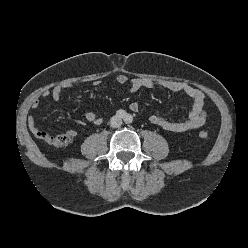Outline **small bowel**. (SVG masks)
I'll list each match as a JSON object with an SVG mask.
<instances>
[{
  "instance_id": "small-bowel-1",
  "label": "small bowel",
  "mask_w": 248,
  "mask_h": 248,
  "mask_svg": "<svg viewBox=\"0 0 248 248\" xmlns=\"http://www.w3.org/2000/svg\"><path fill=\"white\" fill-rule=\"evenodd\" d=\"M116 82L120 85L129 84L130 91L136 93L143 88L151 89L155 87H162L172 92L183 93L187 95L192 100V107L189 112L187 119L181 121H171L165 118L160 113L152 114L149 117V121L160 127L161 129L169 132H185L190 130H195L204 125L206 121V111H205V95L204 93L187 83L174 81V80H154L149 78H133L129 79L126 75H118ZM94 85H101V82L96 81ZM73 84L69 82L60 83L55 85L52 89L46 90L42 93V98L51 97L54 101H58L65 90L73 88ZM39 101L35 100L31 107L33 110L38 109ZM129 108L133 112H138L140 110V105L138 102H131ZM84 119L92 124L100 125L104 118L101 115H98L94 112L84 110L83 112ZM28 126L31 132L40 139H43L46 132L42 131L36 124V120L33 116L28 117ZM69 138H73L77 135V132L73 129L67 131Z\"/></svg>"
}]
</instances>
